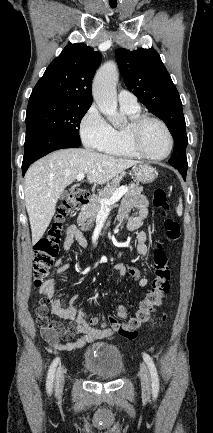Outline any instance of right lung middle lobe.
<instances>
[{"label": "right lung middle lobe", "instance_id": "1", "mask_svg": "<svg viewBox=\"0 0 213 433\" xmlns=\"http://www.w3.org/2000/svg\"><path fill=\"white\" fill-rule=\"evenodd\" d=\"M91 104L51 98L29 99L26 134L46 130L80 144L79 127Z\"/></svg>", "mask_w": 213, "mask_h": 433}]
</instances>
